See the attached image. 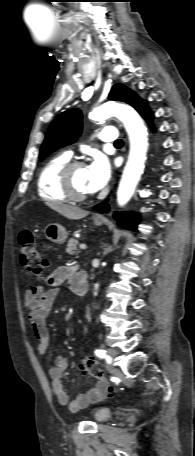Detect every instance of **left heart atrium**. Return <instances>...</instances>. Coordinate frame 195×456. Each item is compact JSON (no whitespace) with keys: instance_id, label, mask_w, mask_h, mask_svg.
<instances>
[{"instance_id":"39dd6f15","label":"left heart atrium","mask_w":195,"mask_h":456,"mask_svg":"<svg viewBox=\"0 0 195 456\" xmlns=\"http://www.w3.org/2000/svg\"><path fill=\"white\" fill-rule=\"evenodd\" d=\"M111 168L108 160L97 155L86 167L87 188L89 192H96L107 184L110 179Z\"/></svg>"}]
</instances>
